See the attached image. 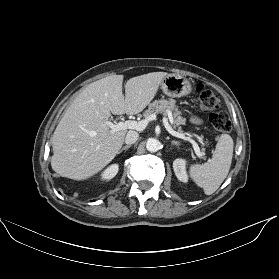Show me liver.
I'll return each instance as SVG.
<instances>
[{
    "label": "liver",
    "instance_id": "obj_1",
    "mask_svg": "<svg viewBox=\"0 0 279 279\" xmlns=\"http://www.w3.org/2000/svg\"><path fill=\"white\" fill-rule=\"evenodd\" d=\"M166 72L130 78L122 94L123 75L89 84L72 102L57 125L51 142L52 169L62 177L85 180L109 164L123 145L127 130L111 132L112 114L140 113L153 100Z\"/></svg>",
    "mask_w": 279,
    "mask_h": 279
}]
</instances>
